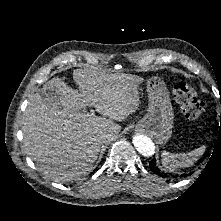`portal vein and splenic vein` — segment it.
Returning a JSON list of instances; mask_svg holds the SVG:
<instances>
[{"instance_id":"portal-vein-and-splenic-vein-1","label":"portal vein and splenic vein","mask_w":221,"mask_h":221,"mask_svg":"<svg viewBox=\"0 0 221 221\" xmlns=\"http://www.w3.org/2000/svg\"><path fill=\"white\" fill-rule=\"evenodd\" d=\"M90 114H91V115H94V110H93V109L91 110V113H90Z\"/></svg>"}]
</instances>
